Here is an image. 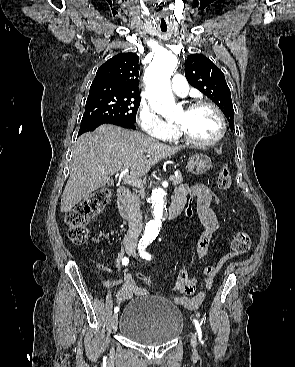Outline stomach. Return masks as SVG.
<instances>
[{
	"label": "stomach",
	"mask_w": 295,
	"mask_h": 367,
	"mask_svg": "<svg viewBox=\"0 0 295 367\" xmlns=\"http://www.w3.org/2000/svg\"><path fill=\"white\" fill-rule=\"evenodd\" d=\"M186 167L191 174L202 175L212 167V162L207 155L200 153L191 156Z\"/></svg>",
	"instance_id": "stomach-1"
}]
</instances>
